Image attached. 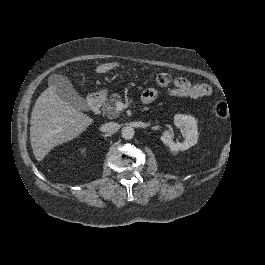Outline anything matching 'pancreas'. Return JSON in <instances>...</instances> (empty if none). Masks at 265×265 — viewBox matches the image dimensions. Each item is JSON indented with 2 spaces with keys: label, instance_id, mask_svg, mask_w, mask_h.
Here are the masks:
<instances>
[{
  "label": "pancreas",
  "instance_id": "cf45deb5",
  "mask_svg": "<svg viewBox=\"0 0 265 265\" xmlns=\"http://www.w3.org/2000/svg\"><path fill=\"white\" fill-rule=\"evenodd\" d=\"M120 101V95L112 93L111 96L105 100L102 107V113L107 115L109 118H116L118 116V112L115 110V106Z\"/></svg>",
  "mask_w": 265,
  "mask_h": 265
}]
</instances>
